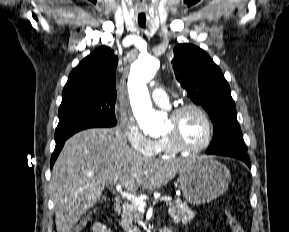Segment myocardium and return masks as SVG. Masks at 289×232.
I'll use <instances>...</instances> for the list:
<instances>
[{
    "label": "myocardium",
    "instance_id": "1",
    "mask_svg": "<svg viewBox=\"0 0 289 232\" xmlns=\"http://www.w3.org/2000/svg\"><path fill=\"white\" fill-rule=\"evenodd\" d=\"M187 111H195L197 112L204 120L207 127V135L202 143L196 146H187L184 145L179 139L174 135H166L163 136V139L166 141L170 149L175 153H186L193 154L198 153L206 149L212 142L214 137V126L211 118L208 113L199 105L189 103L176 107L170 114V118L175 121L177 120L183 113Z\"/></svg>",
    "mask_w": 289,
    "mask_h": 232
}]
</instances>
